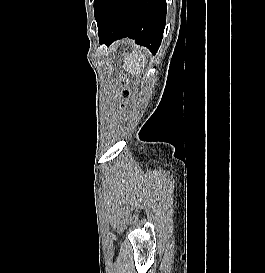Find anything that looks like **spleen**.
I'll return each instance as SVG.
<instances>
[{
	"mask_svg": "<svg viewBox=\"0 0 265 273\" xmlns=\"http://www.w3.org/2000/svg\"><path fill=\"white\" fill-rule=\"evenodd\" d=\"M131 64H129V70L131 73L135 75H139L141 73V67L146 64V58L143 55L142 49H136L130 55Z\"/></svg>",
	"mask_w": 265,
	"mask_h": 273,
	"instance_id": "obj_1",
	"label": "spleen"
}]
</instances>
